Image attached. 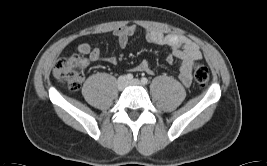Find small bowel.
Listing matches in <instances>:
<instances>
[{
  "instance_id": "1",
  "label": "small bowel",
  "mask_w": 267,
  "mask_h": 166,
  "mask_svg": "<svg viewBox=\"0 0 267 166\" xmlns=\"http://www.w3.org/2000/svg\"><path fill=\"white\" fill-rule=\"evenodd\" d=\"M115 35L119 45L121 47H125L129 39L130 31L120 29L116 32ZM147 38L150 42L156 45H167L171 48V53L168 54L167 60L172 61L175 57L181 60L182 83L185 86H189L191 82L192 67L199 58L198 48L185 38L165 36L156 31L149 32ZM179 44H182L184 46L183 51H180L178 49ZM78 51L83 55L89 56L92 60H97L100 55L97 49L92 48L89 44L86 43L79 45ZM118 60L119 58L117 56H114L112 58V61L115 63H117ZM139 70L148 74H151L153 72L150 63L147 61H142L139 64Z\"/></svg>"
}]
</instances>
